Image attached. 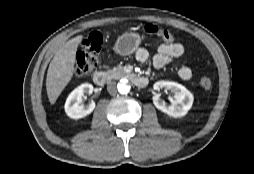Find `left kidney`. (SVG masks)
Wrapping results in <instances>:
<instances>
[{"label": "left kidney", "instance_id": "left-kidney-1", "mask_svg": "<svg viewBox=\"0 0 254 174\" xmlns=\"http://www.w3.org/2000/svg\"><path fill=\"white\" fill-rule=\"evenodd\" d=\"M165 88L172 93L170 98V105L161 100L159 95L153 97V103L156 108L169 116L178 118L183 117L192 107L194 98L192 93L183 85L177 82L159 81L154 84V89L159 90Z\"/></svg>", "mask_w": 254, "mask_h": 174}]
</instances>
